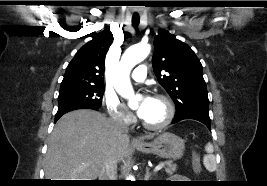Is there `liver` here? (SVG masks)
Returning a JSON list of instances; mask_svg holds the SVG:
<instances>
[{
  "instance_id": "6515ba94",
  "label": "liver",
  "mask_w": 267,
  "mask_h": 186,
  "mask_svg": "<svg viewBox=\"0 0 267 186\" xmlns=\"http://www.w3.org/2000/svg\"><path fill=\"white\" fill-rule=\"evenodd\" d=\"M128 152L129 136L116 134L113 120L97 111L75 110L59 119L49 138L45 177L95 180L109 157L122 161Z\"/></svg>"
}]
</instances>
